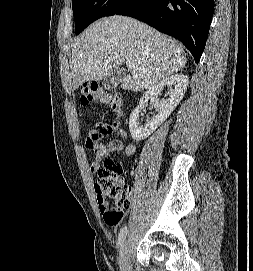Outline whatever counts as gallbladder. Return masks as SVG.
Returning a JSON list of instances; mask_svg holds the SVG:
<instances>
[{"label":"gallbladder","instance_id":"1","mask_svg":"<svg viewBox=\"0 0 253 271\" xmlns=\"http://www.w3.org/2000/svg\"><path fill=\"white\" fill-rule=\"evenodd\" d=\"M124 76L125 72L123 70H118L117 72L105 78L103 82L105 90L111 91L115 89L117 85L122 81Z\"/></svg>","mask_w":253,"mask_h":271}]
</instances>
